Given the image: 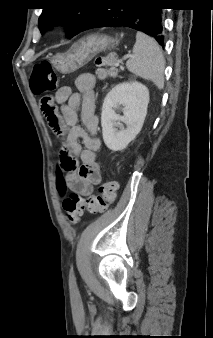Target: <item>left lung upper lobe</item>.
Masks as SVG:
<instances>
[{
    "label": "left lung upper lobe",
    "mask_w": 213,
    "mask_h": 338,
    "mask_svg": "<svg viewBox=\"0 0 213 338\" xmlns=\"http://www.w3.org/2000/svg\"><path fill=\"white\" fill-rule=\"evenodd\" d=\"M104 0H45L39 18V29L44 32L53 25L65 23L67 37L78 34L87 20L98 10Z\"/></svg>",
    "instance_id": "left-lung-upper-lobe-1"
}]
</instances>
